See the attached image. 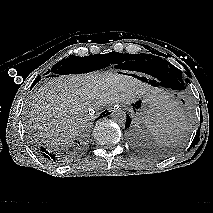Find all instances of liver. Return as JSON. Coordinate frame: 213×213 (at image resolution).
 <instances>
[{
    "mask_svg": "<svg viewBox=\"0 0 213 213\" xmlns=\"http://www.w3.org/2000/svg\"><path fill=\"white\" fill-rule=\"evenodd\" d=\"M139 99L158 107L169 104V95L140 80L116 73H89L52 78L35 90L29 107L31 127L52 145L75 138L93 116L89 111Z\"/></svg>",
    "mask_w": 213,
    "mask_h": 213,
    "instance_id": "6515ba94",
    "label": "liver"
}]
</instances>
